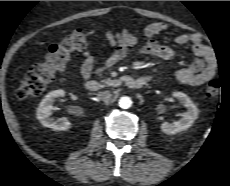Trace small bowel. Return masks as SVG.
Instances as JSON below:
<instances>
[{
	"mask_svg": "<svg viewBox=\"0 0 230 186\" xmlns=\"http://www.w3.org/2000/svg\"><path fill=\"white\" fill-rule=\"evenodd\" d=\"M168 25L163 22H154L144 28V43L138 47L139 38L128 29L121 31L106 32V39L112 48L110 56L105 62V67L112 66L124 59L135 48L141 54L155 56L164 60H172L177 53L169 46L158 43L154 38L156 35L166 31ZM180 45H191L190 53L193 60L184 68L175 73V78L180 83L189 86H199L211 80L217 72V59L213 50L199 41L196 34H178L174 38ZM103 68H94V57L88 50L83 52V62L80 67V75L83 79H88L94 74L100 72ZM151 80L150 76L144 77Z\"/></svg>",
	"mask_w": 230,
	"mask_h": 186,
	"instance_id": "1",
	"label": "small bowel"
}]
</instances>
